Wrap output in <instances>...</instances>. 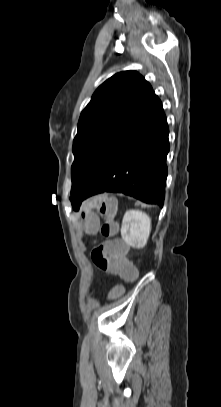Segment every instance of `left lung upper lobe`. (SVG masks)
Wrapping results in <instances>:
<instances>
[{
  "mask_svg": "<svg viewBox=\"0 0 221 407\" xmlns=\"http://www.w3.org/2000/svg\"><path fill=\"white\" fill-rule=\"evenodd\" d=\"M153 93L150 84L135 71L116 73L95 91L81 113L73 141L71 200Z\"/></svg>",
  "mask_w": 221,
  "mask_h": 407,
  "instance_id": "left-lung-upper-lobe-1",
  "label": "left lung upper lobe"
}]
</instances>
